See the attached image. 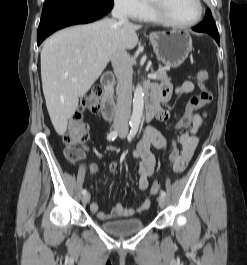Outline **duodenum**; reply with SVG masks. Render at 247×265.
<instances>
[{"label":"duodenum","mask_w":247,"mask_h":265,"mask_svg":"<svg viewBox=\"0 0 247 265\" xmlns=\"http://www.w3.org/2000/svg\"><path fill=\"white\" fill-rule=\"evenodd\" d=\"M103 87V100L101 111L106 119H111L116 111V106L113 98V89L115 83V76L111 72H105L101 79ZM145 99H146V111L145 117L146 120H152L155 117L156 104H157V91L154 89L145 90Z\"/></svg>","instance_id":"1"}]
</instances>
